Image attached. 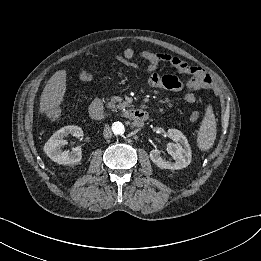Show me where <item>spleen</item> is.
<instances>
[{"label":"spleen","instance_id":"3e777b00","mask_svg":"<svg viewBox=\"0 0 261 261\" xmlns=\"http://www.w3.org/2000/svg\"><path fill=\"white\" fill-rule=\"evenodd\" d=\"M216 127L217 124L212 107L208 106L197 136L198 147L202 151H207L213 146L217 134Z\"/></svg>","mask_w":261,"mask_h":261}]
</instances>
